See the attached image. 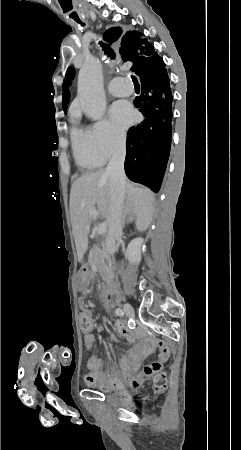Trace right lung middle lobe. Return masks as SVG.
<instances>
[{"label": "right lung middle lobe", "instance_id": "right-lung-middle-lobe-1", "mask_svg": "<svg viewBox=\"0 0 241 450\" xmlns=\"http://www.w3.org/2000/svg\"><path fill=\"white\" fill-rule=\"evenodd\" d=\"M72 79H73V77L69 78L68 80H64V82H63L64 92H63L62 103H63V110H64L65 113H66L67 104H68L69 98H70V92L67 89L71 85V80Z\"/></svg>", "mask_w": 241, "mask_h": 450}]
</instances>
